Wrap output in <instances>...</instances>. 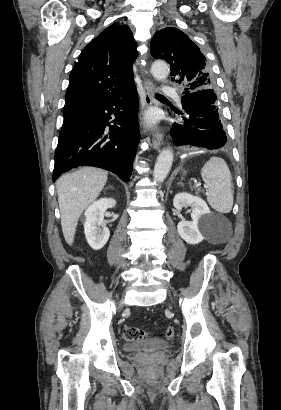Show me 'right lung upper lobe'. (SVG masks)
I'll return each mask as SVG.
<instances>
[{"mask_svg":"<svg viewBox=\"0 0 281 410\" xmlns=\"http://www.w3.org/2000/svg\"><path fill=\"white\" fill-rule=\"evenodd\" d=\"M137 44L127 25L113 24L81 52L70 72L64 109H84L134 84Z\"/></svg>","mask_w":281,"mask_h":410,"instance_id":"obj_1","label":"right lung upper lobe"}]
</instances>
